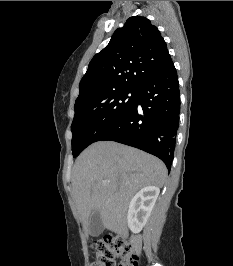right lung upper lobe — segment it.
Masks as SVG:
<instances>
[{
  "instance_id": "1",
  "label": "right lung upper lobe",
  "mask_w": 233,
  "mask_h": 266,
  "mask_svg": "<svg viewBox=\"0 0 233 266\" xmlns=\"http://www.w3.org/2000/svg\"><path fill=\"white\" fill-rule=\"evenodd\" d=\"M171 62L166 42L157 27L146 17H130L89 63L76 102L104 91L138 89Z\"/></svg>"
}]
</instances>
